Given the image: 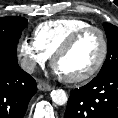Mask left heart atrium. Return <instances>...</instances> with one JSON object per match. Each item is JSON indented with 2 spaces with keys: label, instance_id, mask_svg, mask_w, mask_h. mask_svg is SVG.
<instances>
[{
  "label": "left heart atrium",
  "instance_id": "left-heart-atrium-1",
  "mask_svg": "<svg viewBox=\"0 0 118 118\" xmlns=\"http://www.w3.org/2000/svg\"><path fill=\"white\" fill-rule=\"evenodd\" d=\"M55 73H56L57 75H61L60 72L57 70L56 67H55Z\"/></svg>",
  "mask_w": 118,
  "mask_h": 118
}]
</instances>
